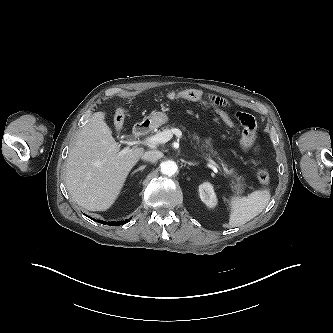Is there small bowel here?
<instances>
[{
	"label": "small bowel",
	"instance_id": "small-bowel-1",
	"mask_svg": "<svg viewBox=\"0 0 333 333\" xmlns=\"http://www.w3.org/2000/svg\"><path fill=\"white\" fill-rule=\"evenodd\" d=\"M203 99L199 100L200 102L210 105L215 109H228L231 110L236 117V119L241 123L244 130L240 139V144L243 148H250L254 142V129H255V120L254 118L244 111L235 110L232 104L223 97L214 95L211 93H206L201 90H198Z\"/></svg>",
	"mask_w": 333,
	"mask_h": 333
}]
</instances>
